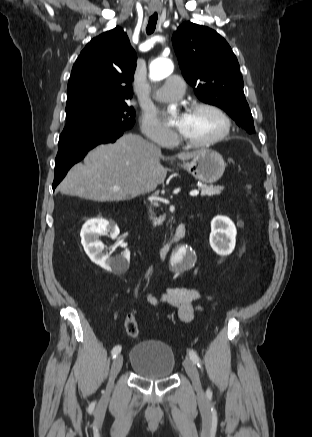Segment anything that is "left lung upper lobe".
<instances>
[{
  "label": "left lung upper lobe",
  "mask_w": 312,
  "mask_h": 437,
  "mask_svg": "<svg viewBox=\"0 0 312 437\" xmlns=\"http://www.w3.org/2000/svg\"><path fill=\"white\" fill-rule=\"evenodd\" d=\"M172 42L183 76L197 97L222 108L238 126L253 133L239 63L226 40L208 27L185 22L174 32Z\"/></svg>",
  "instance_id": "1"
}]
</instances>
